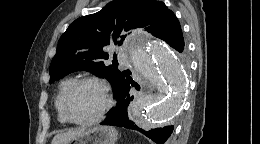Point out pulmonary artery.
Masks as SVG:
<instances>
[{"instance_id": "pulmonary-artery-1", "label": "pulmonary artery", "mask_w": 260, "mask_h": 144, "mask_svg": "<svg viewBox=\"0 0 260 144\" xmlns=\"http://www.w3.org/2000/svg\"><path fill=\"white\" fill-rule=\"evenodd\" d=\"M118 57H119V59H122V55L120 53L118 54Z\"/></svg>"}]
</instances>
